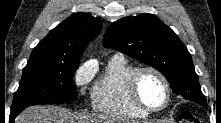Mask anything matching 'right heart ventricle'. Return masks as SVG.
Segmentation results:
<instances>
[{
    "mask_svg": "<svg viewBox=\"0 0 221 123\" xmlns=\"http://www.w3.org/2000/svg\"><path fill=\"white\" fill-rule=\"evenodd\" d=\"M136 69L122 56L116 55L109 59L104 74L92 91V107L97 113L119 120L148 116L133 103L128 92V80Z\"/></svg>",
    "mask_w": 221,
    "mask_h": 123,
    "instance_id": "obj_1",
    "label": "right heart ventricle"
}]
</instances>
